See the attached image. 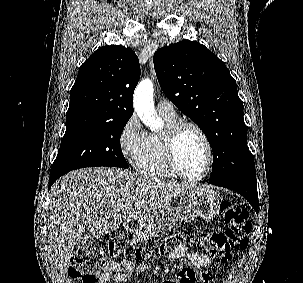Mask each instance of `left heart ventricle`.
Instances as JSON below:
<instances>
[{
    "mask_svg": "<svg viewBox=\"0 0 303 283\" xmlns=\"http://www.w3.org/2000/svg\"><path fill=\"white\" fill-rule=\"evenodd\" d=\"M178 164L188 176L201 175L207 165V151L200 136L192 129L182 130L177 141Z\"/></svg>",
    "mask_w": 303,
    "mask_h": 283,
    "instance_id": "obj_1",
    "label": "left heart ventricle"
}]
</instances>
